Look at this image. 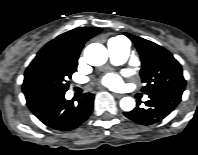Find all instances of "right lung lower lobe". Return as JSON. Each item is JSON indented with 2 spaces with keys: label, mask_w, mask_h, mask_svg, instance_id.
<instances>
[{
  "label": "right lung lower lobe",
  "mask_w": 198,
  "mask_h": 155,
  "mask_svg": "<svg viewBox=\"0 0 198 155\" xmlns=\"http://www.w3.org/2000/svg\"><path fill=\"white\" fill-rule=\"evenodd\" d=\"M66 91L44 90L26 93L27 106L48 127L70 131L86 121L93 109L94 94L85 93L75 104L65 99Z\"/></svg>",
  "instance_id": "1"
}]
</instances>
